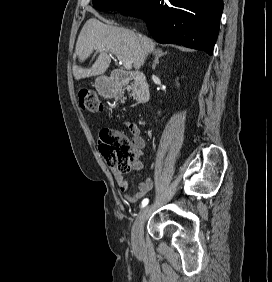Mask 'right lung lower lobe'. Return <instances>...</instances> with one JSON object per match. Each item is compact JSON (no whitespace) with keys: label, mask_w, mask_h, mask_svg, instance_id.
<instances>
[{"label":"right lung lower lobe","mask_w":272,"mask_h":282,"mask_svg":"<svg viewBox=\"0 0 272 282\" xmlns=\"http://www.w3.org/2000/svg\"><path fill=\"white\" fill-rule=\"evenodd\" d=\"M223 0H141L121 14L142 18L159 43L213 53Z\"/></svg>","instance_id":"right-lung-lower-lobe-1"}]
</instances>
